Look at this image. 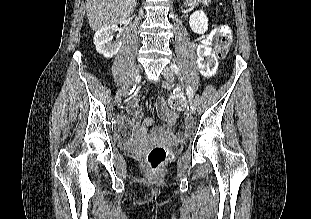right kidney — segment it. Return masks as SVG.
I'll return each mask as SVG.
<instances>
[{"label":"right kidney","mask_w":311,"mask_h":219,"mask_svg":"<svg viewBox=\"0 0 311 219\" xmlns=\"http://www.w3.org/2000/svg\"><path fill=\"white\" fill-rule=\"evenodd\" d=\"M116 26H109L98 30L94 35V44L98 53L105 58H112L118 53L122 45L121 41L112 42L113 33L116 30Z\"/></svg>","instance_id":"obj_1"}]
</instances>
